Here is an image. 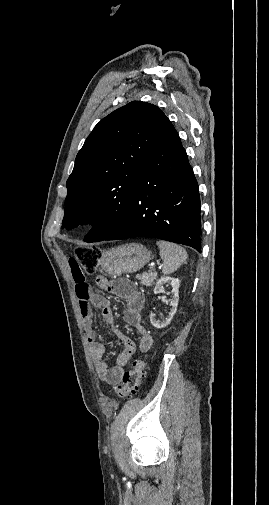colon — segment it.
I'll use <instances>...</instances> for the list:
<instances>
[{
    "label": "colon",
    "mask_w": 269,
    "mask_h": 505,
    "mask_svg": "<svg viewBox=\"0 0 269 505\" xmlns=\"http://www.w3.org/2000/svg\"><path fill=\"white\" fill-rule=\"evenodd\" d=\"M85 274H94L99 265L100 250L97 247H79L75 250V257ZM146 364L143 359H136L132 368L122 376V383L114 387V391L120 397H132L136 394L144 377Z\"/></svg>",
    "instance_id": "1"
}]
</instances>
